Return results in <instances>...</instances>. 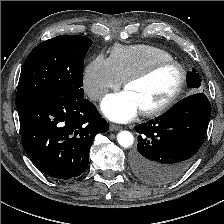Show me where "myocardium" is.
Here are the masks:
<instances>
[{
	"label": "myocardium",
	"mask_w": 224,
	"mask_h": 224,
	"mask_svg": "<svg viewBox=\"0 0 224 224\" xmlns=\"http://www.w3.org/2000/svg\"><path fill=\"white\" fill-rule=\"evenodd\" d=\"M169 66L176 67L179 70L180 77L178 84L173 93L166 101H164L163 103L159 104L156 107L141 110V114L145 117L158 116L169 110L173 105H175V103L179 100L180 96L184 91L188 78L187 69L184 67V65H182L180 62L176 60L173 59L160 60L152 63L145 69L130 75L124 80V88L126 89L130 84L145 80L150 76H152L154 73H156L158 70Z\"/></svg>",
	"instance_id": "f54148a6"
}]
</instances>
